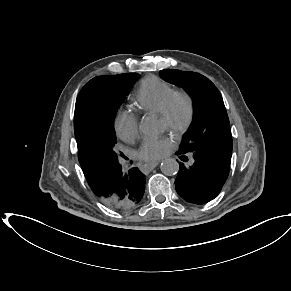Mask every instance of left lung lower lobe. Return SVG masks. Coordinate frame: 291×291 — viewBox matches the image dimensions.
<instances>
[{"instance_id":"left-lung-lower-lobe-1","label":"left lung lower lobe","mask_w":291,"mask_h":291,"mask_svg":"<svg viewBox=\"0 0 291 291\" xmlns=\"http://www.w3.org/2000/svg\"><path fill=\"white\" fill-rule=\"evenodd\" d=\"M181 158L187 159L179 151L176 153ZM194 158L190 167L183 164L179 166V172L175 180V188L180 197L192 204H205L213 200L221 191L229 174V169L216 163Z\"/></svg>"}]
</instances>
